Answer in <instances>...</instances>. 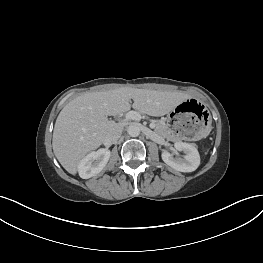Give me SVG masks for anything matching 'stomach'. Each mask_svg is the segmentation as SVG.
Segmentation results:
<instances>
[{"label":"stomach","mask_w":263,"mask_h":263,"mask_svg":"<svg viewBox=\"0 0 263 263\" xmlns=\"http://www.w3.org/2000/svg\"><path fill=\"white\" fill-rule=\"evenodd\" d=\"M167 128L177 140L200 141L212 131L213 117L198 99L184 98L168 114Z\"/></svg>","instance_id":"obj_1"}]
</instances>
